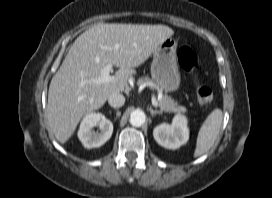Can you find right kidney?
I'll list each match as a JSON object with an SVG mask.
<instances>
[{
	"label": "right kidney",
	"instance_id": "1",
	"mask_svg": "<svg viewBox=\"0 0 272 198\" xmlns=\"http://www.w3.org/2000/svg\"><path fill=\"white\" fill-rule=\"evenodd\" d=\"M94 127H99L100 132H95ZM113 133V124L101 113L87 114L78 131V138L85 148H96L108 141Z\"/></svg>",
	"mask_w": 272,
	"mask_h": 198
}]
</instances>
